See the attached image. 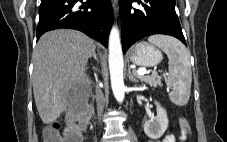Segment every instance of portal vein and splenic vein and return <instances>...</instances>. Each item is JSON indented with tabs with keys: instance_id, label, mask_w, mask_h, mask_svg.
I'll return each mask as SVG.
<instances>
[{
	"instance_id": "18ae733b",
	"label": "portal vein and splenic vein",
	"mask_w": 227,
	"mask_h": 142,
	"mask_svg": "<svg viewBox=\"0 0 227 142\" xmlns=\"http://www.w3.org/2000/svg\"><path fill=\"white\" fill-rule=\"evenodd\" d=\"M138 76H145L147 74L146 70H138L135 72Z\"/></svg>"
}]
</instances>
